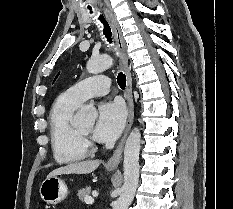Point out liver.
Masks as SVG:
<instances>
[{
    "label": "liver",
    "instance_id": "liver-1",
    "mask_svg": "<svg viewBox=\"0 0 233 209\" xmlns=\"http://www.w3.org/2000/svg\"><path fill=\"white\" fill-rule=\"evenodd\" d=\"M99 165V160L75 162L53 170L48 174L47 177H53L62 174H89L96 170Z\"/></svg>",
    "mask_w": 233,
    "mask_h": 209
}]
</instances>
